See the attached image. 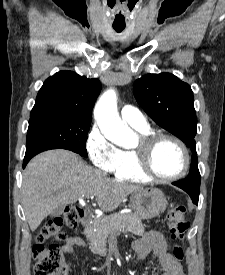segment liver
Returning a JSON list of instances; mask_svg holds the SVG:
<instances>
[{
    "instance_id": "obj_1",
    "label": "liver",
    "mask_w": 225,
    "mask_h": 275,
    "mask_svg": "<svg viewBox=\"0 0 225 275\" xmlns=\"http://www.w3.org/2000/svg\"><path fill=\"white\" fill-rule=\"evenodd\" d=\"M143 187L106 178L74 152L55 149L35 156L26 166L22 202L31 231H35L58 206L94 195L104 212L115 210L123 200Z\"/></svg>"
}]
</instances>
